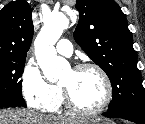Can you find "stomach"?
<instances>
[{
    "label": "stomach",
    "instance_id": "1",
    "mask_svg": "<svg viewBox=\"0 0 145 124\" xmlns=\"http://www.w3.org/2000/svg\"><path fill=\"white\" fill-rule=\"evenodd\" d=\"M78 124H113V123L99 118H82L79 120Z\"/></svg>",
    "mask_w": 145,
    "mask_h": 124
}]
</instances>
